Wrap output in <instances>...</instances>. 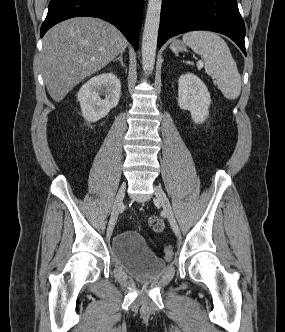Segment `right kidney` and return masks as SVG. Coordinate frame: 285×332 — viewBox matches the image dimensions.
<instances>
[{
  "label": "right kidney",
  "instance_id": "1",
  "mask_svg": "<svg viewBox=\"0 0 285 332\" xmlns=\"http://www.w3.org/2000/svg\"><path fill=\"white\" fill-rule=\"evenodd\" d=\"M120 93L121 82L114 73H103L92 77L77 94L82 116L88 122L102 119L118 105ZM104 95L105 99H101Z\"/></svg>",
  "mask_w": 285,
  "mask_h": 332
}]
</instances>
